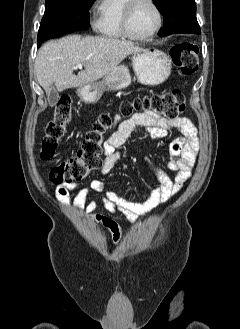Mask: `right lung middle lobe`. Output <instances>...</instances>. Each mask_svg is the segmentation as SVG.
<instances>
[{
    "label": "right lung middle lobe",
    "mask_w": 240,
    "mask_h": 329,
    "mask_svg": "<svg viewBox=\"0 0 240 329\" xmlns=\"http://www.w3.org/2000/svg\"><path fill=\"white\" fill-rule=\"evenodd\" d=\"M95 0H46L38 31V46L47 39L87 29L89 9Z\"/></svg>",
    "instance_id": "right-lung-middle-lobe-1"
}]
</instances>
